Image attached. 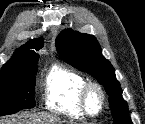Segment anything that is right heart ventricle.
<instances>
[{"label":"right heart ventricle","instance_id":"1","mask_svg":"<svg viewBox=\"0 0 145 124\" xmlns=\"http://www.w3.org/2000/svg\"><path fill=\"white\" fill-rule=\"evenodd\" d=\"M87 79L79 72L64 66H53L44 79L45 106L70 118H83L80 92Z\"/></svg>","mask_w":145,"mask_h":124}]
</instances>
